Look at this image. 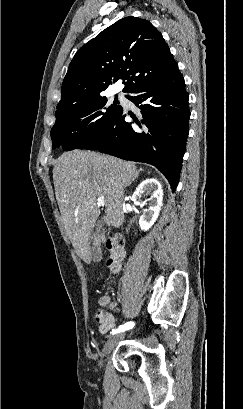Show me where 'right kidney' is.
Instances as JSON below:
<instances>
[{
  "instance_id": "1",
  "label": "right kidney",
  "mask_w": 243,
  "mask_h": 409,
  "mask_svg": "<svg viewBox=\"0 0 243 409\" xmlns=\"http://www.w3.org/2000/svg\"><path fill=\"white\" fill-rule=\"evenodd\" d=\"M147 195H150V198L143 201V198ZM132 200L135 205L141 207L149 201L148 208L139 219L141 230H149L157 220L162 206L163 190L160 182L154 178L142 181L133 193Z\"/></svg>"
}]
</instances>
